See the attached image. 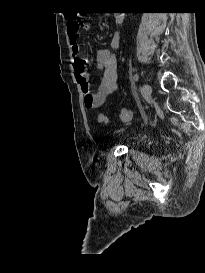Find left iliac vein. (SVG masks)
<instances>
[{
	"label": "left iliac vein",
	"instance_id": "4c4485c4",
	"mask_svg": "<svg viewBox=\"0 0 205 273\" xmlns=\"http://www.w3.org/2000/svg\"><path fill=\"white\" fill-rule=\"evenodd\" d=\"M152 93V88L149 84L145 83L143 85V95L145 98H148Z\"/></svg>",
	"mask_w": 205,
	"mask_h": 273
}]
</instances>
